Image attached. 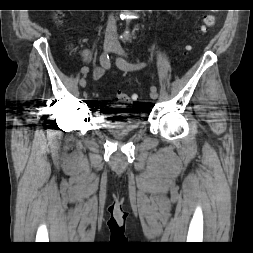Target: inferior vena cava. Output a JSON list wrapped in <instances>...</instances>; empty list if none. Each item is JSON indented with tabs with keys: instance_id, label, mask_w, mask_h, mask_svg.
I'll return each instance as SVG.
<instances>
[{
	"instance_id": "inferior-vena-cava-1",
	"label": "inferior vena cava",
	"mask_w": 253,
	"mask_h": 253,
	"mask_svg": "<svg viewBox=\"0 0 253 253\" xmlns=\"http://www.w3.org/2000/svg\"><path fill=\"white\" fill-rule=\"evenodd\" d=\"M117 33L116 19L113 15H109L105 37L107 39H115Z\"/></svg>"
}]
</instances>
